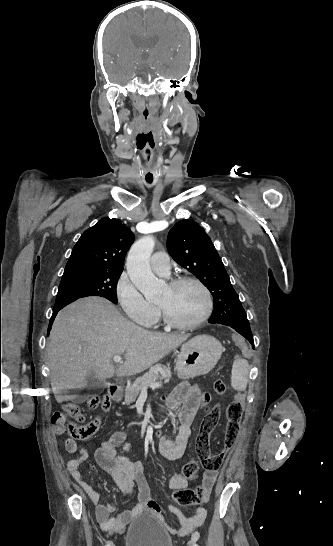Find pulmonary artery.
<instances>
[{
    "label": "pulmonary artery",
    "mask_w": 333,
    "mask_h": 546,
    "mask_svg": "<svg viewBox=\"0 0 333 546\" xmlns=\"http://www.w3.org/2000/svg\"><path fill=\"white\" fill-rule=\"evenodd\" d=\"M152 270L162 276L170 274V258L165 252L154 253L150 260Z\"/></svg>",
    "instance_id": "pulmonary-artery-1"
}]
</instances>
